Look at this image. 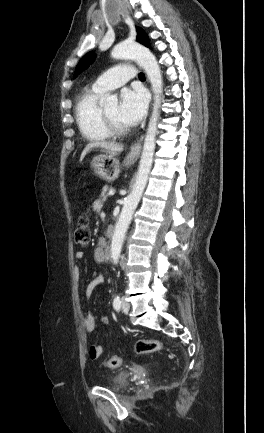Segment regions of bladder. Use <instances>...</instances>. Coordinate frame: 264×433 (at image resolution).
<instances>
[{
  "mask_svg": "<svg viewBox=\"0 0 264 433\" xmlns=\"http://www.w3.org/2000/svg\"><path fill=\"white\" fill-rule=\"evenodd\" d=\"M128 375L125 372H119L112 376L109 388L117 391H122L126 388Z\"/></svg>",
  "mask_w": 264,
  "mask_h": 433,
  "instance_id": "obj_1",
  "label": "bladder"
}]
</instances>
